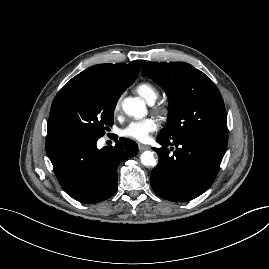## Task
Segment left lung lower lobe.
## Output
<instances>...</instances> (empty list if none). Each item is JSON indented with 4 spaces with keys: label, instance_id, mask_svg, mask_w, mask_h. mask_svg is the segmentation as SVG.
I'll return each mask as SVG.
<instances>
[{
    "label": "left lung lower lobe",
    "instance_id": "0a47b994",
    "mask_svg": "<svg viewBox=\"0 0 269 269\" xmlns=\"http://www.w3.org/2000/svg\"><path fill=\"white\" fill-rule=\"evenodd\" d=\"M162 148H153L158 165L150 174L153 191L172 202L190 201L204 193L214 182L226 152L228 138L196 133L174 140L157 137ZM169 145L175 146L167 148Z\"/></svg>",
    "mask_w": 269,
    "mask_h": 269
}]
</instances>
